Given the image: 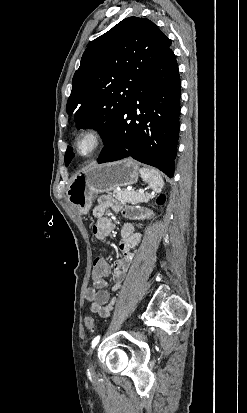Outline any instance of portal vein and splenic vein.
Masks as SVG:
<instances>
[{
    "mask_svg": "<svg viewBox=\"0 0 247 413\" xmlns=\"http://www.w3.org/2000/svg\"><path fill=\"white\" fill-rule=\"evenodd\" d=\"M141 192H144L143 188H140Z\"/></svg>",
    "mask_w": 247,
    "mask_h": 413,
    "instance_id": "1",
    "label": "portal vein and splenic vein"
}]
</instances>
